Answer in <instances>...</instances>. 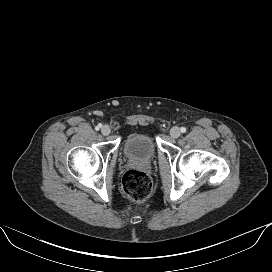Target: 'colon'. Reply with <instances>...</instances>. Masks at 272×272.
<instances>
[{
	"instance_id": "colon-1",
	"label": "colon",
	"mask_w": 272,
	"mask_h": 272,
	"mask_svg": "<svg viewBox=\"0 0 272 272\" xmlns=\"http://www.w3.org/2000/svg\"><path fill=\"white\" fill-rule=\"evenodd\" d=\"M122 190L132 201L142 202L151 193L152 181L145 172L131 169L122 178Z\"/></svg>"
}]
</instances>
